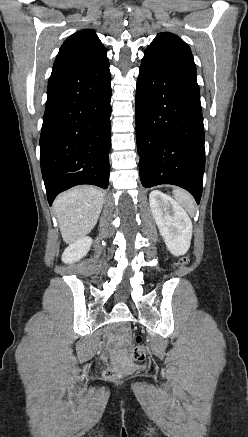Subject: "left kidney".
Listing matches in <instances>:
<instances>
[{"instance_id": "5707ae66", "label": "left kidney", "mask_w": 248, "mask_h": 437, "mask_svg": "<svg viewBox=\"0 0 248 437\" xmlns=\"http://www.w3.org/2000/svg\"><path fill=\"white\" fill-rule=\"evenodd\" d=\"M149 203L154 220L169 251L174 256L184 255L192 238V222L185 210L166 194L153 190Z\"/></svg>"}]
</instances>
